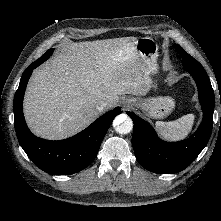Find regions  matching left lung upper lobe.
<instances>
[{
    "mask_svg": "<svg viewBox=\"0 0 221 221\" xmlns=\"http://www.w3.org/2000/svg\"><path fill=\"white\" fill-rule=\"evenodd\" d=\"M176 49L178 52L182 55L183 53H186L179 45L175 44Z\"/></svg>",
    "mask_w": 221,
    "mask_h": 221,
    "instance_id": "1",
    "label": "left lung upper lobe"
}]
</instances>
